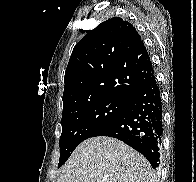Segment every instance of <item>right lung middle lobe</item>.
Masks as SVG:
<instances>
[{
	"label": "right lung middle lobe",
	"instance_id": "dd1d6c3e",
	"mask_svg": "<svg viewBox=\"0 0 196 182\" xmlns=\"http://www.w3.org/2000/svg\"><path fill=\"white\" fill-rule=\"evenodd\" d=\"M128 102L129 100L101 97L64 111L58 167L67 161L80 142L90 138L100 127L125 110Z\"/></svg>",
	"mask_w": 196,
	"mask_h": 182
}]
</instances>
